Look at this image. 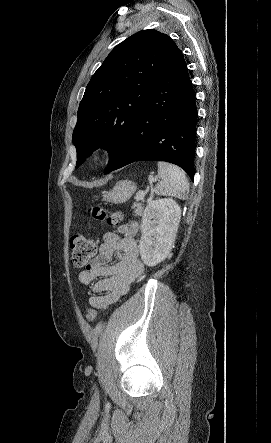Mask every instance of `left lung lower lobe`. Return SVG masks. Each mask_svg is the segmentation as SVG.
<instances>
[{
    "label": "left lung lower lobe",
    "mask_w": 271,
    "mask_h": 443,
    "mask_svg": "<svg viewBox=\"0 0 271 443\" xmlns=\"http://www.w3.org/2000/svg\"><path fill=\"white\" fill-rule=\"evenodd\" d=\"M197 117L193 86L178 49L149 85L145 108L110 171L135 161H166L193 179Z\"/></svg>",
    "instance_id": "0a47b994"
}]
</instances>
